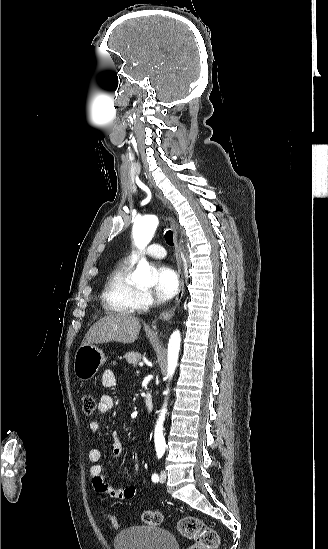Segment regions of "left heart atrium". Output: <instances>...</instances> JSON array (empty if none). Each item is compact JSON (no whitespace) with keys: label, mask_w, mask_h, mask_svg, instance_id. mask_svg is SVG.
I'll return each instance as SVG.
<instances>
[{"label":"left heart atrium","mask_w":328,"mask_h":549,"mask_svg":"<svg viewBox=\"0 0 328 549\" xmlns=\"http://www.w3.org/2000/svg\"><path fill=\"white\" fill-rule=\"evenodd\" d=\"M179 288V278L173 268L164 265L156 269L153 290L161 300L172 298Z\"/></svg>","instance_id":"left-heart-atrium-1"}]
</instances>
